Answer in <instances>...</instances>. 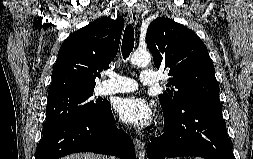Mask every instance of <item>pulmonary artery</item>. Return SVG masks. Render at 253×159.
I'll use <instances>...</instances> for the list:
<instances>
[{"instance_id": "1", "label": "pulmonary artery", "mask_w": 253, "mask_h": 159, "mask_svg": "<svg viewBox=\"0 0 253 159\" xmlns=\"http://www.w3.org/2000/svg\"><path fill=\"white\" fill-rule=\"evenodd\" d=\"M105 76L108 77V80L104 81L99 88L102 95L131 92L138 87L135 80L113 71L106 72ZM140 80L143 85L151 86L157 84L159 77L153 70L142 69Z\"/></svg>"}]
</instances>
